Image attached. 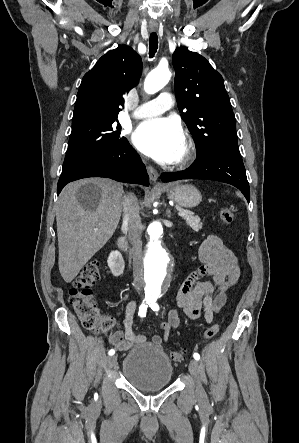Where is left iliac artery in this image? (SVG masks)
Masks as SVG:
<instances>
[{
    "mask_svg": "<svg viewBox=\"0 0 299 443\" xmlns=\"http://www.w3.org/2000/svg\"><path fill=\"white\" fill-rule=\"evenodd\" d=\"M156 300H157V299H151V300L149 301V306L151 307V309H152L153 311H159V305L157 304ZM193 357H194V359L197 360V361L200 360V355H199L198 353H194V354H193Z\"/></svg>",
    "mask_w": 299,
    "mask_h": 443,
    "instance_id": "obj_1",
    "label": "left iliac artery"
}]
</instances>
